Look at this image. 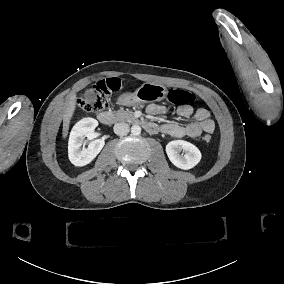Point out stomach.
Wrapping results in <instances>:
<instances>
[{
	"label": "stomach",
	"instance_id": "obj_1",
	"mask_svg": "<svg viewBox=\"0 0 284 284\" xmlns=\"http://www.w3.org/2000/svg\"><path fill=\"white\" fill-rule=\"evenodd\" d=\"M167 95V88L156 83H144L133 93H124L118 98V104L135 106L137 104L161 101Z\"/></svg>",
	"mask_w": 284,
	"mask_h": 284
}]
</instances>
